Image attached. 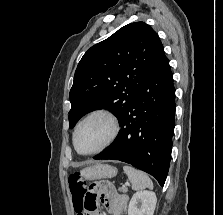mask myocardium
Segmentation results:
<instances>
[{"instance_id":"f54148a6","label":"myocardium","mask_w":223,"mask_h":215,"mask_svg":"<svg viewBox=\"0 0 223 215\" xmlns=\"http://www.w3.org/2000/svg\"><path fill=\"white\" fill-rule=\"evenodd\" d=\"M95 118H101V119H104L107 121V123L110 126L109 136L105 140V142L97 149L90 151V152H86V153L81 152L78 150V148L76 146L77 132H78L79 128L81 127V125H83L87 121L95 119ZM119 130H120L119 123H118L117 119L115 118V116L110 111L105 110V109L95 110V111L89 113L87 116H85L83 119H81L77 123V125L74 129V132H73V137H72L73 146H74L76 152L81 156H92V155L98 154L113 144V142L115 141V139L118 136Z\"/></svg>"}]
</instances>
